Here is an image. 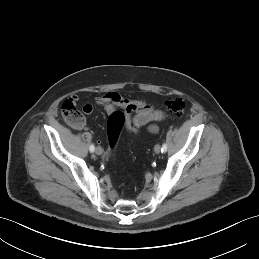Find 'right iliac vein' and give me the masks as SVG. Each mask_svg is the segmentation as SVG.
Returning <instances> with one entry per match:
<instances>
[{"instance_id": "63e3f726", "label": "right iliac vein", "mask_w": 259, "mask_h": 259, "mask_svg": "<svg viewBox=\"0 0 259 259\" xmlns=\"http://www.w3.org/2000/svg\"><path fill=\"white\" fill-rule=\"evenodd\" d=\"M95 153H96L97 155H101V154L103 153L102 148L98 146V147L96 148V150H95Z\"/></svg>"}]
</instances>
